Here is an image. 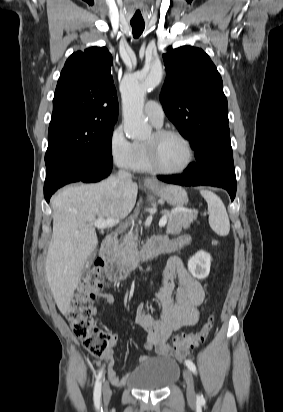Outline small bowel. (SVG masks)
<instances>
[{
  "label": "small bowel",
  "mask_w": 283,
  "mask_h": 412,
  "mask_svg": "<svg viewBox=\"0 0 283 412\" xmlns=\"http://www.w3.org/2000/svg\"><path fill=\"white\" fill-rule=\"evenodd\" d=\"M165 243L171 245L172 251L187 246L191 239L189 236H183L177 240L167 241L159 238ZM109 283L104 284V290L100 291V297L106 304H113L115 297L109 293ZM204 288L199 281L191 276L186 269L183 261L177 257H172L164 272L157 302L160 307V315L157 319L147 311L145 304H140L136 309L135 323L143 328L147 333V339L144 348L148 351H154L158 356L168 357L175 356L182 360L186 352L174 351L168 344L173 331L195 325L198 321V308L204 301ZM98 307H93V314L99 313ZM118 343V337L112 334L110 347L107 349L103 358L108 361V374L115 385L123 386L126 383L125 376H118L114 370V347ZM147 355L140 356V363L148 360Z\"/></svg>",
  "instance_id": "small-bowel-1"
}]
</instances>
